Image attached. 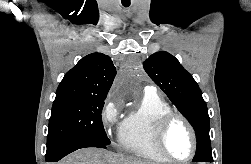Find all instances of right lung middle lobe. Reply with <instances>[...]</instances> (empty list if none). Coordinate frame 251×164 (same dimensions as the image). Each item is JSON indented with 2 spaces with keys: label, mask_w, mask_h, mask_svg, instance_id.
Here are the masks:
<instances>
[{
  "label": "right lung middle lobe",
  "mask_w": 251,
  "mask_h": 164,
  "mask_svg": "<svg viewBox=\"0 0 251 164\" xmlns=\"http://www.w3.org/2000/svg\"><path fill=\"white\" fill-rule=\"evenodd\" d=\"M106 97L60 94L53 102L47 144L76 137L109 145L101 118Z\"/></svg>",
  "instance_id": "1"
}]
</instances>
